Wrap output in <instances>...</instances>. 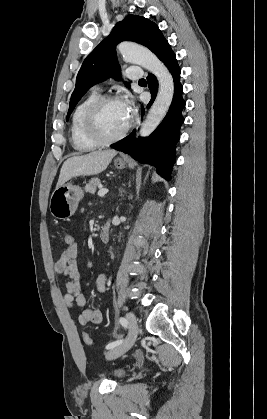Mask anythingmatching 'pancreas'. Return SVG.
<instances>
[{
    "label": "pancreas",
    "mask_w": 267,
    "mask_h": 419,
    "mask_svg": "<svg viewBox=\"0 0 267 419\" xmlns=\"http://www.w3.org/2000/svg\"><path fill=\"white\" fill-rule=\"evenodd\" d=\"M101 182L99 178H92L85 186V191L94 194L97 186H100Z\"/></svg>",
    "instance_id": "pancreas-1"
}]
</instances>
